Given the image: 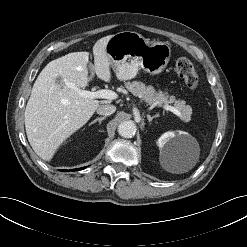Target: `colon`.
Masks as SVG:
<instances>
[{
	"instance_id": "colon-1",
	"label": "colon",
	"mask_w": 247,
	"mask_h": 247,
	"mask_svg": "<svg viewBox=\"0 0 247 247\" xmlns=\"http://www.w3.org/2000/svg\"><path fill=\"white\" fill-rule=\"evenodd\" d=\"M175 70L183 83L191 90L198 87L199 77L191 61L187 58H178L175 64Z\"/></svg>"
}]
</instances>
